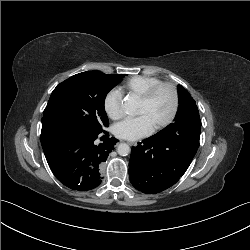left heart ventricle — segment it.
<instances>
[{"mask_svg": "<svg viewBox=\"0 0 250 250\" xmlns=\"http://www.w3.org/2000/svg\"><path fill=\"white\" fill-rule=\"evenodd\" d=\"M171 108V93L168 89L163 88L156 93L150 102L139 101L137 114L147 116L154 127L168 117Z\"/></svg>", "mask_w": 250, "mask_h": 250, "instance_id": "left-heart-ventricle-1", "label": "left heart ventricle"}]
</instances>
